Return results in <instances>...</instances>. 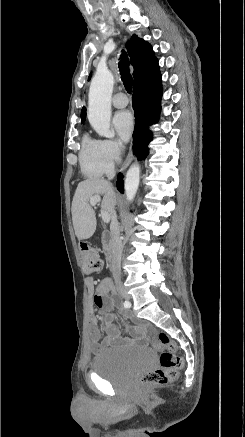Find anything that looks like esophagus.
<instances>
[{
    "label": "esophagus",
    "mask_w": 245,
    "mask_h": 437,
    "mask_svg": "<svg viewBox=\"0 0 245 437\" xmlns=\"http://www.w3.org/2000/svg\"><path fill=\"white\" fill-rule=\"evenodd\" d=\"M132 158H133V153H132V151H130L128 156L126 157L124 163H123V166L121 168L122 171L125 170L128 167V165L130 164Z\"/></svg>",
    "instance_id": "esophagus-1"
}]
</instances>
